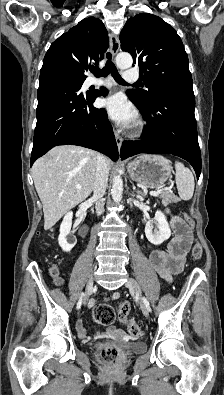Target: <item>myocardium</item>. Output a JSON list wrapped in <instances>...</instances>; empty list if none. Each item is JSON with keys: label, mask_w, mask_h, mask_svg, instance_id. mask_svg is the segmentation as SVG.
<instances>
[{"label": "myocardium", "mask_w": 224, "mask_h": 395, "mask_svg": "<svg viewBox=\"0 0 224 395\" xmlns=\"http://www.w3.org/2000/svg\"><path fill=\"white\" fill-rule=\"evenodd\" d=\"M144 130V122L143 121H137L134 125L133 128V134L134 135H140Z\"/></svg>", "instance_id": "f54148a6"}]
</instances>
